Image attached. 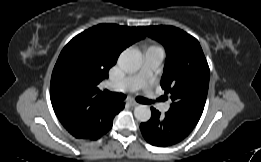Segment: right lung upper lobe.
Listing matches in <instances>:
<instances>
[{"label":"right lung upper lobe","mask_w":261,"mask_h":162,"mask_svg":"<svg viewBox=\"0 0 261 162\" xmlns=\"http://www.w3.org/2000/svg\"><path fill=\"white\" fill-rule=\"evenodd\" d=\"M145 37L140 27L96 25L74 37L62 50L52 72L50 98L62 125L76 138L92 135L118 111L97 85L119 54Z\"/></svg>","instance_id":"1"}]
</instances>
